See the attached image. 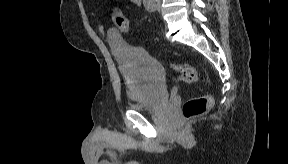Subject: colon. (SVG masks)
<instances>
[{
  "label": "colon",
  "instance_id": "5ec220e1",
  "mask_svg": "<svg viewBox=\"0 0 288 164\" xmlns=\"http://www.w3.org/2000/svg\"><path fill=\"white\" fill-rule=\"evenodd\" d=\"M115 19L117 21V27L120 31L124 33H128L130 31L129 21L124 15L115 12ZM171 68L179 75L181 79L191 81L193 83L199 81L198 71L190 65L173 62L171 63ZM211 107L212 98L210 95L205 94L186 101L182 105L181 111L182 115L184 116V120H193V118L207 113Z\"/></svg>",
  "mask_w": 288,
  "mask_h": 164
}]
</instances>
